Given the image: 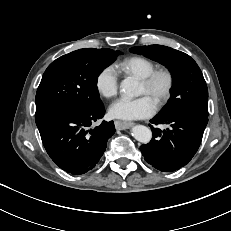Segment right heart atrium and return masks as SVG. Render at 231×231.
Listing matches in <instances>:
<instances>
[{
  "mask_svg": "<svg viewBox=\"0 0 231 231\" xmlns=\"http://www.w3.org/2000/svg\"><path fill=\"white\" fill-rule=\"evenodd\" d=\"M118 84V72L113 66H105L96 76V89L98 93L105 98H111L117 94Z\"/></svg>",
  "mask_w": 231,
  "mask_h": 231,
  "instance_id": "d8ad5b80",
  "label": "right heart atrium"
}]
</instances>
